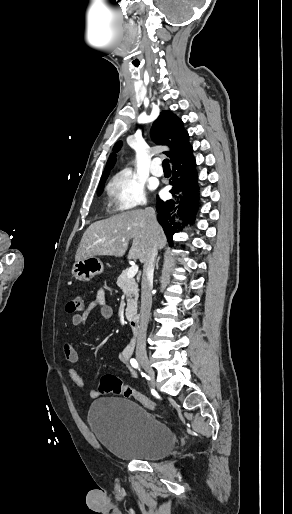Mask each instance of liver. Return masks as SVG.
Wrapping results in <instances>:
<instances>
[{
	"label": "liver",
	"instance_id": "liver-1",
	"mask_svg": "<svg viewBox=\"0 0 292 514\" xmlns=\"http://www.w3.org/2000/svg\"><path fill=\"white\" fill-rule=\"evenodd\" d=\"M147 210H131L116 214L107 220L94 222L82 236L75 260L90 256H124L129 240L133 238L128 260L145 264L147 254L154 244L157 250L165 248L166 236L158 222L152 220Z\"/></svg>",
	"mask_w": 292,
	"mask_h": 514
}]
</instances>
